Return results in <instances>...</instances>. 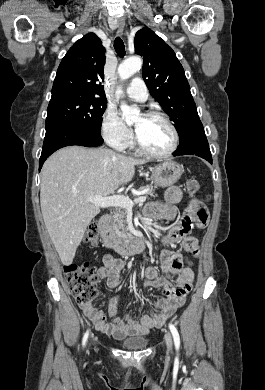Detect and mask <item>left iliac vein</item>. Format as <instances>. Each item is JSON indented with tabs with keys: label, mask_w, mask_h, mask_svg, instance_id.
I'll use <instances>...</instances> for the list:
<instances>
[{
	"label": "left iliac vein",
	"mask_w": 265,
	"mask_h": 390,
	"mask_svg": "<svg viewBox=\"0 0 265 390\" xmlns=\"http://www.w3.org/2000/svg\"><path fill=\"white\" fill-rule=\"evenodd\" d=\"M165 342H166V346H167L168 351H171V349H172V336L169 332H167L165 334Z\"/></svg>",
	"instance_id": "obj_1"
}]
</instances>
